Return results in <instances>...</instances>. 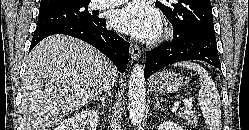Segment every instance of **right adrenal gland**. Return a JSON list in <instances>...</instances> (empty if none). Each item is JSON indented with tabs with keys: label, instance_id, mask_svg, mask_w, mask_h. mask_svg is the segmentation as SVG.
Here are the masks:
<instances>
[{
	"label": "right adrenal gland",
	"instance_id": "1",
	"mask_svg": "<svg viewBox=\"0 0 249 130\" xmlns=\"http://www.w3.org/2000/svg\"><path fill=\"white\" fill-rule=\"evenodd\" d=\"M110 96H111V94H110V92L108 91V92H106L104 95H102L101 97L97 98L96 100L101 101L102 105L105 106V100H106V98H108V97H110Z\"/></svg>",
	"mask_w": 249,
	"mask_h": 130
}]
</instances>
